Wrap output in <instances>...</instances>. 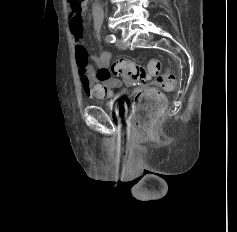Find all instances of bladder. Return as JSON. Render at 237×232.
<instances>
[{"instance_id": "bladder-1", "label": "bladder", "mask_w": 237, "mask_h": 232, "mask_svg": "<svg viewBox=\"0 0 237 232\" xmlns=\"http://www.w3.org/2000/svg\"><path fill=\"white\" fill-rule=\"evenodd\" d=\"M107 106L111 108L119 116L123 117L126 114L127 103L123 99H118L111 103H107Z\"/></svg>"}]
</instances>
